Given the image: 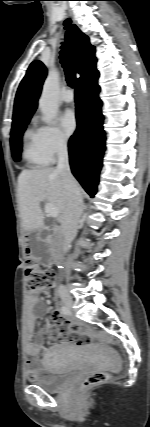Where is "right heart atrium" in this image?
Masks as SVG:
<instances>
[{"instance_id": "1", "label": "right heart atrium", "mask_w": 150, "mask_h": 427, "mask_svg": "<svg viewBox=\"0 0 150 427\" xmlns=\"http://www.w3.org/2000/svg\"><path fill=\"white\" fill-rule=\"evenodd\" d=\"M38 131L41 148L48 162L54 161L67 150V138L56 125H42Z\"/></svg>"}]
</instances>
